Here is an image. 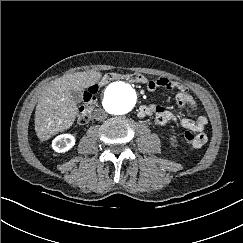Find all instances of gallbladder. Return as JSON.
I'll return each instance as SVG.
<instances>
[{"instance_id": "bac80fb5", "label": "gallbladder", "mask_w": 243, "mask_h": 243, "mask_svg": "<svg viewBox=\"0 0 243 243\" xmlns=\"http://www.w3.org/2000/svg\"><path fill=\"white\" fill-rule=\"evenodd\" d=\"M72 100L76 104L80 103L82 101V92L77 90L72 91Z\"/></svg>"}]
</instances>
